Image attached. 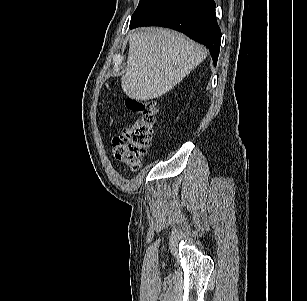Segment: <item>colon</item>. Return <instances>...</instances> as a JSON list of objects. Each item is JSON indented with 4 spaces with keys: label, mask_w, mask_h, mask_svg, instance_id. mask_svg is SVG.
Here are the masks:
<instances>
[{
    "label": "colon",
    "mask_w": 307,
    "mask_h": 301,
    "mask_svg": "<svg viewBox=\"0 0 307 301\" xmlns=\"http://www.w3.org/2000/svg\"><path fill=\"white\" fill-rule=\"evenodd\" d=\"M127 107L138 115L122 133L113 140V151L118 161L132 170L140 167V160L146 154L157 119L158 105L154 100L128 98Z\"/></svg>",
    "instance_id": "obj_1"
}]
</instances>
